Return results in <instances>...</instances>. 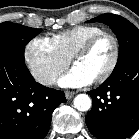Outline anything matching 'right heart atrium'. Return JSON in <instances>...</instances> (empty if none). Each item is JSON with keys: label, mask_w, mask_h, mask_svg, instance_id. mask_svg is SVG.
I'll use <instances>...</instances> for the list:
<instances>
[{"label": "right heart atrium", "mask_w": 139, "mask_h": 139, "mask_svg": "<svg viewBox=\"0 0 139 139\" xmlns=\"http://www.w3.org/2000/svg\"><path fill=\"white\" fill-rule=\"evenodd\" d=\"M24 60L32 76L43 85H51L69 65V60L50 40L42 37L34 38L26 45Z\"/></svg>", "instance_id": "obj_1"}]
</instances>
